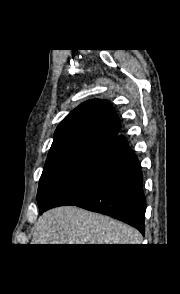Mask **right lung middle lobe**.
I'll use <instances>...</instances> for the list:
<instances>
[{"label":"right lung middle lobe","mask_w":180,"mask_h":294,"mask_svg":"<svg viewBox=\"0 0 180 294\" xmlns=\"http://www.w3.org/2000/svg\"><path fill=\"white\" fill-rule=\"evenodd\" d=\"M99 144L76 141L51 147L37 193L40 209L71 179Z\"/></svg>","instance_id":"1"}]
</instances>
